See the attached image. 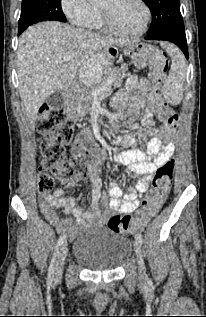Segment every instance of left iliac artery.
I'll return each mask as SVG.
<instances>
[{
	"label": "left iliac artery",
	"mask_w": 206,
	"mask_h": 317,
	"mask_svg": "<svg viewBox=\"0 0 206 317\" xmlns=\"http://www.w3.org/2000/svg\"><path fill=\"white\" fill-rule=\"evenodd\" d=\"M136 239L142 244L143 243V237H142V235L140 234V233H138L137 235H136Z\"/></svg>",
	"instance_id": "obj_1"
}]
</instances>
